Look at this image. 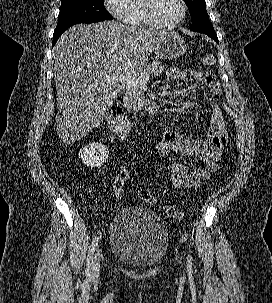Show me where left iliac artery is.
I'll return each mask as SVG.
<instances>
[{"mask_svg": "<svg viewBox=\"0 0 272 303\" xmlns=\"http://www.w3.org/2000/svg\"><path fill=\"white\" fill-rule=\"evenodd\" d=\"M187 263H188V269L191 271L192 270V259L190 255L187 256Z\"/></svg>", "mask_w": 272, "mask_h": 303, "instance_id": "left-iliac-artery-1", "label": "left iliac artery"}]
</instances>
